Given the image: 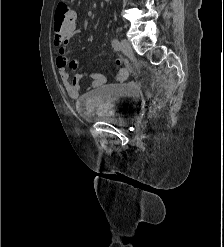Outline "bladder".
Wrapping results in <instances>:
<instances>
[{
  "label": "bladder",
  "instance_id": "1",
  "mask_svg": "<svg viewBox=\"0 0 224 247\" xmlns=\"http://www.w3.org/2000/svg\"><path fill=\"white\" fill-rule=\"evenodd\" d=\"M140 104V93L131 84H105L91 93L85 118L91 122L110 123L119 127L133 124Z\"/></svg>",
  "mask_w": 224,
  "mask_h": 247
}]
</instances>
